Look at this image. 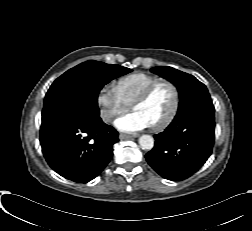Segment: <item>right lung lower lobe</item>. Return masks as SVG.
Segmentation results:
<instances>
[{"instance_id":"1","label":"right lung lower lobe","mask_w":252,"mask_h":231,"mask_svg":"<svg viewBox=\"0 0 252 231\" xmlns=\"http://www.w3.org/2000/svg\"><path fill=\"white\" fill-rule=\"evenodd\" d=\"M118 132L99 115L59 111L42 119L40 143L50 167L66 179L87 183L109 163Z\"/></svg>"}]
</instances>
